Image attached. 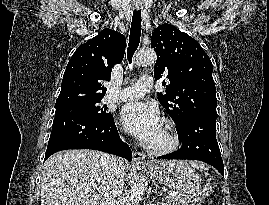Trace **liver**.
Segmentation results:
<instances>
[{"label": "liver", "mask_w": 269, "mask_h": 205, "mask_svg": "<svg viewBox=\"0 0 269 205\" xmlns=\"http://www.w3.org/2000/svg\"><path fill=\"white\" fill-rule=\"evenodd\" d=\"M111 156L94 150H68L44 165L41 205H98L105 193ZM196 168L203 165L191 163ZM125 170L128 167L124 166Z\"/></svg>", "instance_id": "obj_1"}]
</instances>
